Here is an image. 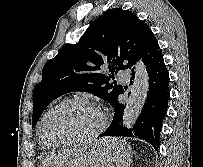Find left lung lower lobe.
<instances>
[{
    "label": "left lung lower lobe",
    "mask_w": 203,
    "mask_h": 167,
    "mask_svg": "<svg viewBox=\"0 0 203 167\" xmlns=\"http://www.w3.org/2000/svg\"><path fill=\"white\" fill-rule=\"evenodd\" d=\"M146 65L149 87L143 109L133 128L128 129L122 124V116L126 104L118 101L113 106L114 117L108 129L100 136L137 137L149 142L155 149L160 146L159 137L162 121L167 113L169 91V74L164 64L161 49L154 39L142 52L138 60ZM130 70L133 72L134 68ZM130 80H134L132 74ZM124 93V90H123Z\"/></svg>",
    "instance_id": "left-lung-lower-lobe-1"
}]
</instances>
